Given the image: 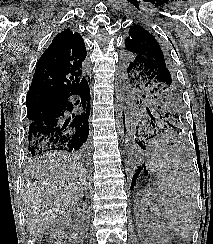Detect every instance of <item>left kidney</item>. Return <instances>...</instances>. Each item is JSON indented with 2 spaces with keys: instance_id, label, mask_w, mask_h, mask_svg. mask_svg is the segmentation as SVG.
Listing matches in <instances>:
<instances>
[{
  "instance_id": "5707ae66",
  "label": "left kidney",
  "mask_w": 213,
  "mask_h": 244,
  "mask_svg": "<svg viewBox=\"0 0 213 244\" xmlns=\"http://www.w3.org/2000/svg\"><path fill=\"white\" fill-rule=\"evenodd\" d=\"M148 208L150 214L146 213ZM134 211L143 244H171L168 227L161 217L160 204L151 191L142 190L137 194Z\"/></svg>"
}]
</instances>
